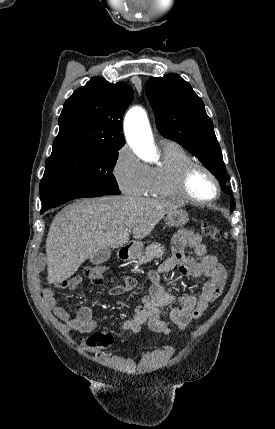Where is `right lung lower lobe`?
Returning a JSON list of instances; mask_svg holds the SVG:
<instances>
[{"mask_svg":"<svg viewBox=\"0 0 275 429\" xmlns=\"http://www.w3.org/2000/svg\"><path fill=\"white\" fill-rule=\"evenodd\" d=\"M102 195L104 194L88 193V192H69V193L60 194L55 197L42 201V209L40 213L43 214L46 210L57 207L71 199L83 198V197H98Z\"/></svg>","mask_w":275,"mask_h":429,"instance_id":"right-lung-lower-lobe-1","label":"right lung lower lobe"}]
</instances>
